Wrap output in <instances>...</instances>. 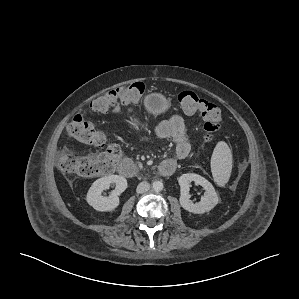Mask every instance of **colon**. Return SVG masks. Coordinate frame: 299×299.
<instances>
[{"label": "colon", "mask_w": 299, "mask_h": 299, "mask_svg": "<svg viewBox=\"0 0 299 299\" xmlns=\"http://www.w3.org/2000/svg\"><path fill=\"white\" fill-rule=\"evenodd\" d=\"M144 92V84L135 82L97 97L92 101L91 108L96 112H110L119 106L139 102ZM178 101L185 113L199 114L202 117L206 140L211 142L222 125L220 108L189 90L182 91L178 95ZM67 130L75 140L94 147H105V150L91 155L64 154L59 160V168L63 172L89 178L114 171L122 156V149L119 144L111 142L102 129L78 114L71 120Z\"/></svg>", "instance_id": "obj_1"}]
</instances>
